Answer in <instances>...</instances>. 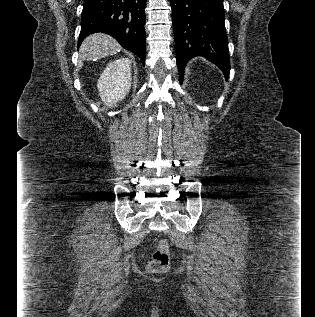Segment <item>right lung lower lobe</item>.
I'll return each instance as SVG.
<instances>
[{
    "instance_id": "right-lung-lower-lobe-1",
    "label": "right lung lower lobe",
    "mask_w": 315,
    "mask_h": 317,
    "mask_svg": "<svg viewBox=\"0 0 315 317\" xmlns=\"http://www.w3.org/2000/svg\"><path fill=\"white\" fill-rule=\"evenodd\" d=\"M145 6L146 0H85L79 44L86 36L103 32L139 56L145 65Z\"/></svg>"
}]
</instances>
